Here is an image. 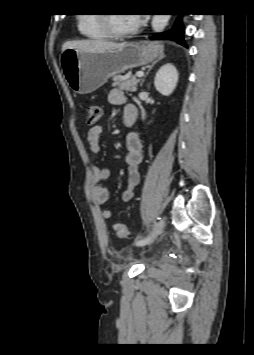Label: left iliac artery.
Here are the masks:
<instances>
[{
	"mask_svg": "<svg viewBox=\"0 0 254 355\" xmlns=\"http://www.w3.org/2000/svg\"><path fill=\"white\" fill-rule=\"evenodd\" d=\"M155 226H156V224H155ZM154 231H155V227H154V230H153V232H152V234H151L150 236L135 241V244H136L137 246H144V245H146L148 242H150L152 239H156L157 236L155 235V232H154Z\"/></svg>",
	"mask_w": 254,
	"mask_h": 355,
	"instance_id": "44dca946",
	"label": "left iliac artery"
}]
</instances>
